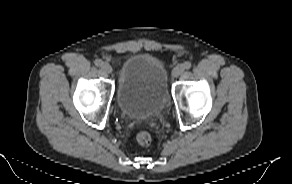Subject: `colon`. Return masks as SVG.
I'll list each match as a JSON object with an SVG mask.
<instances>
[{
	"mask_svg": "<svg viewBox=\"0 0 292 184\" xmlns=\"http://www.w3.org/2000/svg\"><path fill=\"white\" fill-rule=\"evenodd\" d=\"M151 141H152V138L148 132L142 131V132L138 133L137 142L139 145L148 146V145H150Z\"/></svg>",
	"mask_w": 292,
	"mask_h": 184,
	"instance_id": "colon-1",
	"label": "colon"
}]
</instances>
